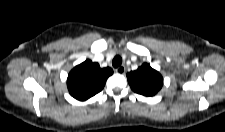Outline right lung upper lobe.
I'll use <instances>...</instances> for the list:
<instances>
[{"instance_id":"right-lung-upper-lobe-1","label":"right lung upper lobe","mask_w":225,"mask_h":132,"mask_svg":"<svg viewBox=\"0 0 225 132\" xmlns=\"http://www.w3.org/2000/svg\"><path fill=\"white\" fill-rule=\"evenodd\" d=\"M112 74L111 68H100L98 63L86 60L69 73L67 78L69 93L77 100H87L103 89L107 78Z\"/></svg>"}]
</instances>
